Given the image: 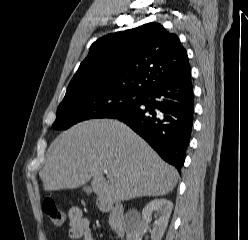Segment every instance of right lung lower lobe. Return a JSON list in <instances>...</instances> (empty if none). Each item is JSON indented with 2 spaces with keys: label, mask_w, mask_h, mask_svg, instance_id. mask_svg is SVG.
<instances>
[{
  "label": "right lung lower lobe",
  "mask_w": 248,
  "mask_h": 240,
  "mask_svg": "<svg viewBox=\"0 0 248 240\" xmlns=\"http://www.w3.org/2000/svg\"><path fill=\"white\" fill-rule=\"evenodd\" d=\"M194 115L191 71L153 86L136 105L108 118L125 122L179 172L190 142Z\"/></svg>",
  "instance_id": "98d812e1"
}]
</instances>
